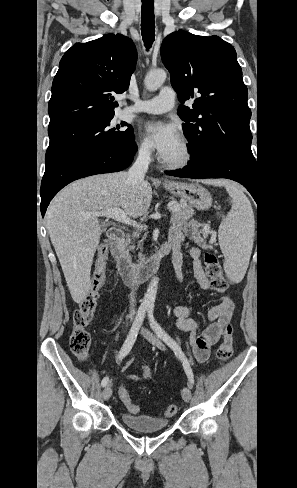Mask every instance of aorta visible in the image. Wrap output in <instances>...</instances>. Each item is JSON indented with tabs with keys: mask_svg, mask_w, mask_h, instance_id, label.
I'll return each mask as SVG.
<instances>
[{
	"mask_svg": "<svg viewBox=\"0 0 297 488\" xmlns=\"http://www.w3.org/2000/svg\"><path fill=\"white\" fill-rule=\"evenodd\" d=\"M167 77L166 71L163 69H158L156 71L149 72L144 80L145 87L149 91H155L162 86ZM158 277H153L149 283L147 291L143 298V305L147 307H153L156 299V294L158 290Z\"/></svg>",
	"mask_w": 297,
	"mask_h": 488,
	"instance_id": "1",
	"label": "aorta"
}]
</instances>
